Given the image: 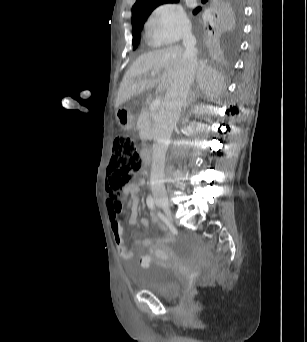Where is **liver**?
<instances>
[{"mask_svg":"<svg viewBox=\"0 0 307 342\" xmlns=\"http://www.w3.org/2000/svg\"><path fill=\"white\" fill-rule=\"evenodd\" d=\"M183 52L180 46H171L165 50H153V52L141 54L123 76L116 98V108L130 100L132 96L142 94L150 88L157 86L158 92L170 88L180 68ZM148 72L162 74V76L161 78H153V76L145 78ZM196 82L200 90L209 98H219L222 90H225L224 76L211 66H207V62L203 60L198 62Z\"/></svg>","mask_w":307,"mask_h":342,"instance_id":"6515ba94","label":"liver"}]
</instances>
